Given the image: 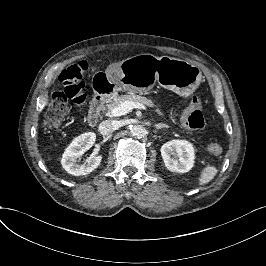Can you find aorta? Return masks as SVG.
<instances>
[{"mask_svg":"<svg viewBox=\"0 0 266 266\" xmlns=\"http://www.w3.org/2000/svg\"><path fill=\"white\" fill-rule=\"evenodd\" d=\"M130 131L132 136L137 139H141L147 135V130L142 125H134Z\"/></svg>","mask_w":266,"mask_h":266,"instance_id":"1","label":"aorta"}]
</instances>
